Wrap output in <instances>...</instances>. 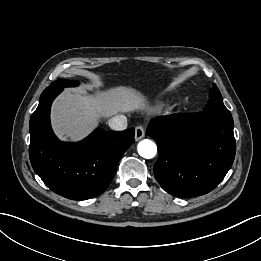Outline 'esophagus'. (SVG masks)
Listing matches in <instances>:
<instances>
[{
	"instance_id": "esophagus-1",
	"label": "esophagus",
	"mask_w": 261,
	"mask_h": 261,
	"mask_svg": "<svg viewBox=\"0 0 261 261\" xmlns=\"http://www.w3.org/2000/svg\"><path fill=\"white\" fill-rule=\"evenodd\" d=\"M145 136V131L142 126H137L135 128V139L138 141Z\"/></svg>"
}]
</instances>
